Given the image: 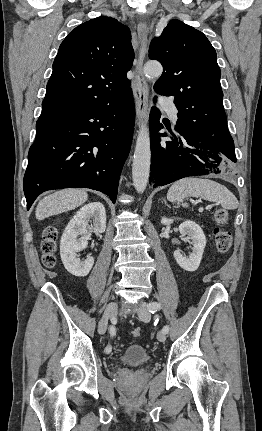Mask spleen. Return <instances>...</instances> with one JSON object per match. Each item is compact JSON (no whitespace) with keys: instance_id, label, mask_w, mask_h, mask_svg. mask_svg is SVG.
I'll list each match as a JSON object with an SVG mask.
<instances>
[{"instance_id":"3e777b00","label":"spleen","mask_w":262,"mask_h":431,"mask_svg":"<svg viewBox=\"0 0 262 431\" xmlns=\"http://www.w3.org/2000/svg\"><path fill=\"white\" fill-rule=\"evenodd\" d=\"M186 197H201L207 201L218 202L228 210L238 207V200L234 194L224 185L204 178L187 177L172 184L167 193V199L171 202L182 200ZM188 207L187 203H182Z\"/></svg>"}]
</instances>
